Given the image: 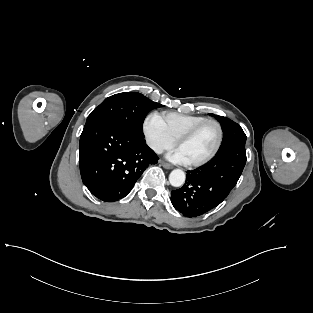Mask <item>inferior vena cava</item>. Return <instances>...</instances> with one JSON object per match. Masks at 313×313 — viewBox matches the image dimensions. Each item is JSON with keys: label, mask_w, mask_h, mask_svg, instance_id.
<instances>
[{"label": "inferior vena cava", "mask_w": 313, "mask_h": 313, "mask_svg": "<svg viewBox=\"0 0 313 313\" xmlns=\"http://www.w3.org/2000/svg\"><path fill=\"white\" fill-rule=\"evenodd\" d=\"M153 149L155 150L156 153L160 154L163 152V148L161 146H153Z\"/></svg>", "instance_id": "602c4592"}]
</instances>
